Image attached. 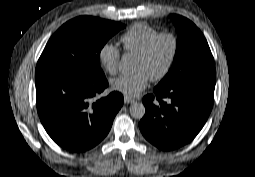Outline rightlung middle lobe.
<instances>
[{
    "mask_svg": "<svg viewBox=\"0 0 255 177\" xmlns=\"http://www.w3.org/2000/svg\"><path fill=\"white\" fill-rule=\"evenodd\" d=\"M123 24L90 16L72 19L48 41L36 66L35 80L49 76L96 79L104 75L100 52Z\"/></svg>",
    "mask_w": 255,
    "mask_h": 177,
    "instance_id": "right-lung-middle-lobe-1",
    "label": "right lung middle lobe"
}]
</instances>
